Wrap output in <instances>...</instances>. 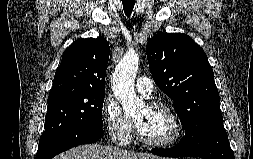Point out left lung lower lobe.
<instances>
[{"instance_id": "left-lung-lower-lobe-1", "label": "left lung lower lobe", "mask_w": 253, "mask_h": 159, "mask_svg": "<svg viewBox=\"0 0 253 159\" xmlns=\"http://www.w3.org/2000/svg\"><path fill=\"white\" fill-rule=\"evenodd\" d=\"M165 157H200L203 159H235L222 121H216L200 132H194L169 149H153Z\"/></svg>"}]
</instances>
